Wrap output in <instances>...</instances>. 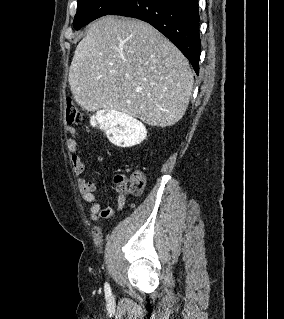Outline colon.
I'll return each mask as SVG.
<instances>
[{
    "instance_id": "5ec220e1",
    "label": "colon",
    "mask_w": 284,
    "mask_h": 319,
    "mask_svg": "<svg viewBox=\"0 0 284 319\" xmlns=\"http://www.w3.org/2000/svg\"><path fill=\"white\" fill-rule=\"evenodd\" d=\"M66 121L69 125L79 124L82 121V113L71 99H67ZM115 185L120 193L139 195L144 189L145 178L143 173L136 171L130 177L117 176Z\"/></svg>"
}]
</instances>
